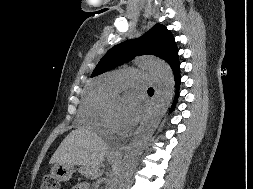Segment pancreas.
Masks as SVG:
<instances>
[{"label":"pancreas","mask_w":253,"mask_h":189,"mask_svg":"<svg viewBox=\"0 0 253 189\" xmlns=\"http://www.w3.org/2000/svg\"><path fill=\"white\" fill-rule=\"evenodd\" d=\"M80 173L87 178H94L97 175V170L89 166H84L80 169Z\"/></svg>","instance_id":"cf45deb5"}]
</instances>
